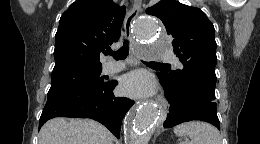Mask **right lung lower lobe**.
<instances>
[{
    "label": "right lung lower lobe",
    "instance_id": "1",
    "mask_svg": "<svg viewBox=\"0 0 260 144\" xmlns=\"http://www.w3.org/2000/svg\"><path fill=\"white\" fill-rule=\"evenodd\" d=\"M116 85V81H111L98 89L69 88L48 92L39 128L54 117H83L100 122L119 138L122 119L134 101L116 97L113 93Z\"/></svg>",
    "mask_w": 260,
    "mask_h": 144
}]
</instances>
